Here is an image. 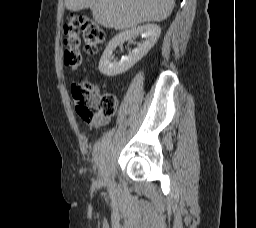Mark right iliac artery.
I'll return each mask as SVG.
<instances>
[{
    "mask_svg": "<svg viewBox=\"0 0 256 228\" xmlns=\"http://www.w3.org/2000/svg\"><path fill=\"white\" fill-rule=\"evenodd\" d=\"M113 134H114V129L106 134V136L103 139V143H106V141H109L111 139V137L113 136Z\"/></svg>",
    "mask_w": 256,
    "mask_h": 228,
    "instance_id": "obj_1",
    "label": "right iliac artery"
}]
</instances>
